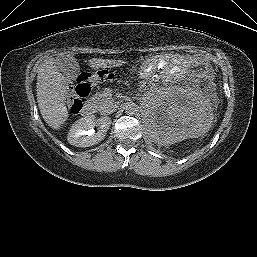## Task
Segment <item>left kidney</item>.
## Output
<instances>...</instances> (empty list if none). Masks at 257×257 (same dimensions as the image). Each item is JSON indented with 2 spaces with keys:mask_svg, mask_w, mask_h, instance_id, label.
Instances as JSON below:
<instances>
[{
  "mask_svg": "<svg viewBox=\"0 0 257 257\" xmlns=\"http://www.w3.org/2000/svg\"><path fill=\"white\" fill-rule=\"evenodd\" d=\"M206 106L204 98L192 90L171 87L159 91L145 103V127L161 145L196 138L209 129Z\"/></svg>",
  "mask_w": 257,
  "mask_h": 257,
  "instance_id": "left-kidney-1",
  "label": "left kidney"
}]
</instances>
